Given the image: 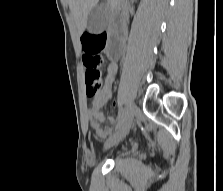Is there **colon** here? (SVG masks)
I'll use <instances>...</instances> for the list:
<instances>
[{"mask_svg":"<svg viewBox=\"0 0 223 191\" xmlns=\"http://www.w3.org/2000/svg\"><path fill=\"white\" fill-rule=\"evenodd\" d=\"M107 36L105 33H85L82 36L83 64L86 69V94L89 97L95 96L101 87L104 73L101 69V52L106 45Z\"/></svg>","mask_w":223,"mask_h":191,"instance_id":"1","label":"colon"}]
</instances>
